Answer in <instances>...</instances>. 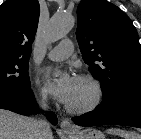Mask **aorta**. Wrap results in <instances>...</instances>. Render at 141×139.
Segmentation results:
<instances>
[{
	"instance_id": "762f6f07",
	"label": "aorta",
	"mask_w": 141,
	"mask_h": 139,
	"mask_svg": "<svg viewBox=\"0 0 141 139\" xmlns=\"http://www.w3.org/2000/svg\"><path fill=\"white\" fill-rule=\"evenodd\" d=\"M75 19L70 14L56 13L49 21L45 40L47 43L56 42L64 38L73 28Z\"/></svg>"
}]
</instances>
